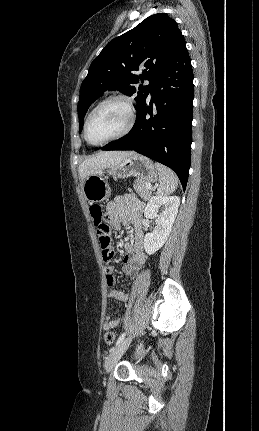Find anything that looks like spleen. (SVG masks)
<instances>
[{"mask_svg": "<svg viewBox=\"0 0 259 431\" xmlns=\"http://www.w3.org/2000/svg\"><path fill=\"white\" fill-rule=\"evenodd\" d=\"M155 168L158 171L160 183L157 194L166 196L174 192L178 186V178L176 174L171 169L160 163H155Z\"/></svg>", "mask_w": 259, "mask_h": 431, "instance_id": "obj_1", "label": "spleen"}]
</instances>
